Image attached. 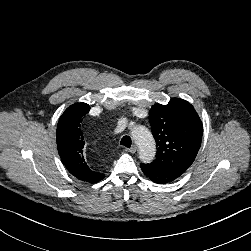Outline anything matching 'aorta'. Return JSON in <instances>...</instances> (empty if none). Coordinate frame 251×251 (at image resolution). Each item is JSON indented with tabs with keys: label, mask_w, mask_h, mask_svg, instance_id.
<instances>
[{
	"label": "aorta",
	"mask_w": 251,
	"mask_h": 251,
	"mask_svg": "<svg viewBox=\"0 0 251 251\" xmlns=\"http://www.w3.org/2000/svg\"><path fill=\"white\" fill-rule=\"evenodd\" d=\"M132 137L139 149V158L143 163H151L156 154L155 140L145 127H137L132 131Z\"/></svg>",
	"instance_id": "1"
}]
</instances>
